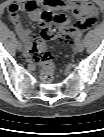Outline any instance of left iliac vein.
Segmentation results:
<instances>
[{"label":"left iliac vein","instance_id":"obj_1","mask_svg":"<svg viewBox=\"0 0 104 137\" xmlns=\"http://www.w3.org/2000/svg\"><path fill=\"white\" fill-rule=\"evenodd\" d=\"M75 50L77 52H82L84 50V45L81 43V41H78L75 45Z\"/></svg>","mask_w":104,"mask_h":137}]
</instances>
